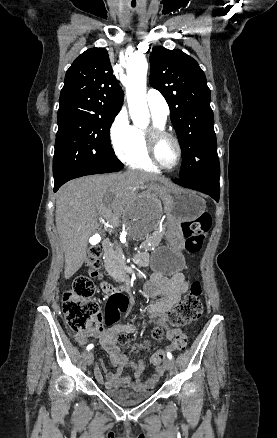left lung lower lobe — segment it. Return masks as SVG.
<instances>
[{
  "mask_svg": "<svg viewBox=\"0 0 277 438\" xmlns=\"http://www.w3.org/2000/svg\"><path fill=\"white\" fill-rule=\"evenodd\" d=\"M173 181L186 188L194 189L203 192L205 194H208L216 201H219V196H220L219 181H215V180L187 181L182 179H174Z\"/></svg>",
  "mask_w": 277,
  "mask_h": 438,
  "instance_id": "left-lung-lower-lobe-1",
  "label": "left lung lower lobe"
}]
</instances>
